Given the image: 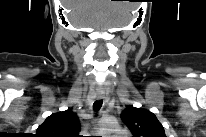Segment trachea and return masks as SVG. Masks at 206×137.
I'll return each mask as SVG.
<instances>
[{"label": "trachea", "instance_id": "3493384b", "mask_svg": "<svg viewBox=\"0 0 206 137\" xmlns=\"http://www.w3.org/2000/svg\"><path fill=\"white\" fill-rule=\"evenodd\" d=\"M102 103H103V101L102 100H96L95 102H94V104H93V109H94V111L97 113L99 110H100V108L102 107Z\"/></svg>", "mask_w": 206, "mask_h": 137}]
</instances>
